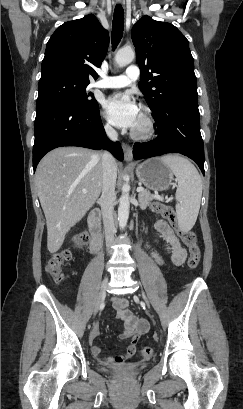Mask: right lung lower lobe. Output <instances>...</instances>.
<instances>
[{
  "label": "right lung lower lobe",
  "mask_w": 243,
  "mask_h": 409,
  "mask_svg": "<svg viewBox=\"0 0 243 409\" xmlns=\"http://www.w3.org/2000/svg\"><path fill=\"white\" fill-rule=\"evenodd\" d=\"M61 146L107 149L118 160L124 159L120 143L111 142L106 137L98 105L81 109L51 104L36 109L34 171L47 152Z\"/></svg>",
  "instance_id": "98d812e1"
}]
</instances>
